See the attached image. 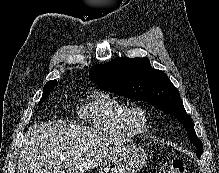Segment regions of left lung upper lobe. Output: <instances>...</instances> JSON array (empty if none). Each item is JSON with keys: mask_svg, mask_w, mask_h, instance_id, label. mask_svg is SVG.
<instances>
[{"mask_svg": "<svg viewBox=\"0 0 219 173\" xmlns=\"http://www.w3.org/2000/svg\"><path fill=\"white\" fill-rule=\"evenodd\" d=\"M89 77L104 90L146 101L174 115L184 125L190 141L197 146L196 155L200 158L203 144L196 135L178 90L163 71L151 67L147 58L117 57L105 64L94 65L89 71Z\"/></svg>", "mask_w": 219, "mask_h": 173, "instance_id": "obj_1", "label": "left lung upper lobe"}]
</instances>
